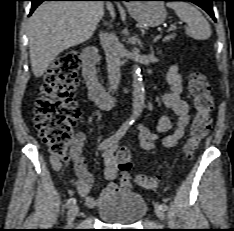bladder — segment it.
I'll return each instance as SVG.
<instances>
[{
    "label": "bladder",
    "mask_w": 234,
    "mask_h": 231,
    "mask_svg": "<svg viewBox=\"0 0 234 231\" xmlns=\"http://www.w3.org/2000/svg\"><path fill=\"white\" fill-rule=\"evenodd\" d=\"M148 210L146 200L138 193L128 191L115 194L98 209L101 221L129 225L142 219Z\"/></svg>",
    "instance_id": "31cf9c89"
}]
</instances>
